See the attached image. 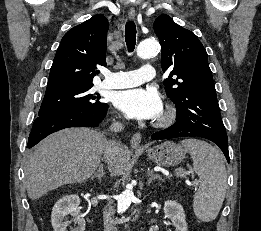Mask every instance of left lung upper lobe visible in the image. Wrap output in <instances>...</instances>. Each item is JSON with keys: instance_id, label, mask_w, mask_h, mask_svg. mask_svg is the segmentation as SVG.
<instances>
[{"instance_id": "left-lung-upper-lobe-1", "label": "left lung upper lobe", "mask_w": 261, "mask_h": 231, "mask_svg": "<svg viewBox=\"0 0 261 231\" xmlns=\"http://www.w3.org/2000/svg\"><path fill=\"white\" fill-rule=\"evenodd\" d=\"M161 47L167 96L177 110L176 121L185 122L216 139L227 140L221 119L207 52L196 35L163 14L154 22Z\"/></svg>"}]
</instances>
